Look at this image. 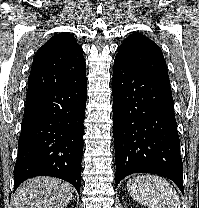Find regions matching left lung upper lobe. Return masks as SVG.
Listing matches in <instances>:
<instances>
[{"mask_svg":"<svg viewBox=\"0 0 199 208\" xmlns=\"http://www.w3.org/2000/svg\"><path fill=\"white\" fill-rule=\"evenodd\" d=\"M115 59L126 62L137 71L170 83L161 49L141 33L128 36L119 46Z\"/></svg>","mask_w":199,"mask_h":208,"instance_id":"1","label":"left lung upper lobe"}]
</instances>
